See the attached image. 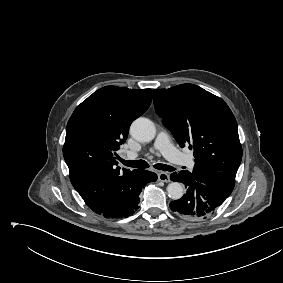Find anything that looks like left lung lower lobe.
I'll return each instance as SVG.
<instances>
[{
  "instance_id": "1",
  "label": "left lung lower lobe",
  "mask_w": 283,
  "mask_h": 283,
  "mask_svg": "<svg viewBox=\"0 0 283 283\" xmlns=\"http://www.w3.org/2000/svg\"><path fill=\"white\" fill-rule=\"evenodd\" d=\"M170 179L182 182L187 188L182 198L170 203L171 210L182 218L205 219L213 214L227 198L223 193L195 181L186 171L174 172L170 175Z\"/></svg>"
}]
</instances>
